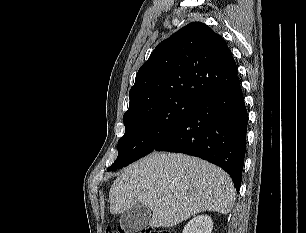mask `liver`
Returning <instances> with one entry per match:
<instances>
[{"label":"liver","mask_w":306,"mask_h":233,"mask_svg":"<svg viewBox=\"0 0 306 233\" xmlns=\"http://www.w3.org/2000/svg\"><path fill=\"white\" fill-rule=\"evenodd\" d=\"M109 199L114 215L142 203L153 213L150 227H172L204 211L228 214L235 188L226 172L207 161L153 152L122 171Z\"/></svg>","instance_id":"liver-1"}]
</instances>
